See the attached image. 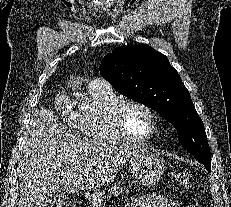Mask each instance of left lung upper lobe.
<instances>
[{
    "instance_id": "1",
    "label": "left lung upper lobe",
    "mask_w": 231,
    "mask_h": 207,
    "mask_svg": "<svg viewBox=\"0 0 231 207\" xmlns=\"http://www.w3.org/2000/svg\"><path fill=\"white\" fill-rule=\"evenodd\" d=\"M100 73L121 94L159 112L176 128L187 151L211 165L203 122L165 55L145 44L121 46L102 59Z\"/></svg>"
}]
</instances>
